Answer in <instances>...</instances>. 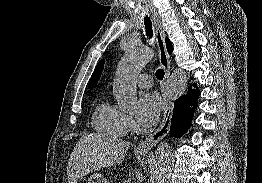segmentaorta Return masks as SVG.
<instances>
[{
  "instance_id": "762f6f07",
  "label": "aorta",
  "mask_w": 262,
  "mask_h": 183,
  "mask_svg": "<svg viewBox=\"0 0 262 183\" xmlns=\"http://www.w3.org/2000/svg\"><path fill=\"white\" fill-rule=\"evenodd\" d=\"M153 58L147 47H132L121 59L113 85V92L122 111L132 112L138 108L134 77L141 72ZM188 78L182 69H175L168 80L165 97L172 101L178 99L186 90ZM172 154L169 145L161 142L157 146L153 166V183H164L172 168Z\"/></svg>"
}]
</instances>
